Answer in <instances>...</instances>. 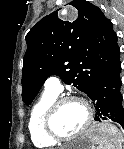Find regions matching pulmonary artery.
<instances>
[{
    "label": "pulmonary artery",
    "instance_id": "obj_1",
    "mask_svg": "<svg viewBox=\"0 0 124 149\" xmlns=\"http://www.w3.org/2000/svg\"><path fill=\"white\" fill-rule=\"evenodd\" d=\"M62 89L63 87H62L61 81L57 76H51L45 82V91L47 92L59 94L61 93Z\"/></svg>",
    "mask_w": 124,
    "mask_h": 149
}]
</instances>
